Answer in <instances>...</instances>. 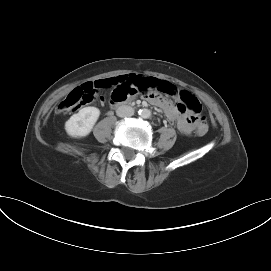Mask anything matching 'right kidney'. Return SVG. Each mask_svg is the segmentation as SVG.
I'll return each instance as SVG.
<instances>
[{
	"label": "right kidney",
	"mask_w": 271,
	"mask_h": 271,
	"mask_svg": "<svg viewBox=\"0 0 271 271\" xmlns=\"http://www.w3.org/2000/svg\"><path fill=\"white\" fill-rule=\"evenodd\" d=\"M99 116L100 110L96 107L82 108L66 121L65 130L72 137H85L92 131Z\"/></svg>",
	"instance_id": "ca27d5eb"
}]
</instances>
